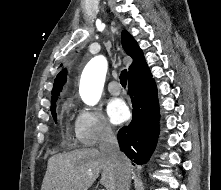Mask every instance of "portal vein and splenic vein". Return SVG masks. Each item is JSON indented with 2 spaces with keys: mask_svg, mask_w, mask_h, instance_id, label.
Here are the masks:
<instances>
[{
  "mask_svg": "<svg viewBox=\"0 0 221 190\" xmlns=\"http://www.w3.org/2000/svg\"><path fill=\"white\" fill-rule=\"evenodd\" d=\"M88 174L91 175V172H88ZM102 190H104V189H102Z\"/></svg>",
  "mask_w": 221,
  "mask_h": 190,
  "instance_id": "obj_1",
  "label": "portal vein and splenic vein"
}]
</instances>
